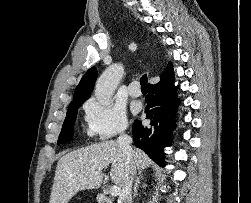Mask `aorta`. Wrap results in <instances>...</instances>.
<instances>
[{
	"instance_id": "aorta-1",
	"label": "aorta",
	"mask_w": 251,
	"mask_h": 203,
	"mask_svg": "<svg viewBox=\"0 0 251 203\" xmlns=\"http://www.w3.org/2000/svg\"><path fill=\"white\" fill-rule=\"evenodd\" d=\"M124 75L122 64L116 63L105 69L98 78L95 86V97L102 105H109L112 102L114 92Z\"/></svg>"
}]
</instances>
